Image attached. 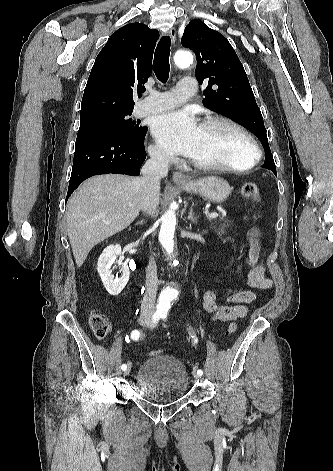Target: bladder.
Segmentation results:
<instances>
[{"label":"bladder","mask_w":333,"mask_h":471,"mask_svg":"<svg viewBox=\"0 0 333 471\" xmlns=\"http://www.w3.org/2000/svg\"><path fill=\"white\" fill-rule=\"evenodd\" d=\"M135 379L140 396L151 403H173L184 397L189 388L186 367L169 354L146 359L138 368Z\"/></svg>","instance_id":"1"}]
</instances>
